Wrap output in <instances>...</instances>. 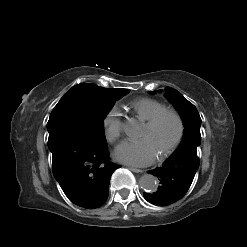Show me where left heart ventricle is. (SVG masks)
Instances as JSON below:
<instances>
[{"mask_svg":"<svg viewBox=\"0 0 247 247\" xmlns=\"http://www.w3.org/2000/svg\"><path fill=\"white\" fill-rule=\"evenodd\" d=\"M176 133V123L172 117H165L155 128L144 125L141 138H148L154 144L157 152H161L173 139Z\"/></svg>","mask_w":247,"mask_h":247,"instance_id":"obj_1","label":"left heart ventricle"}]
</instances>
